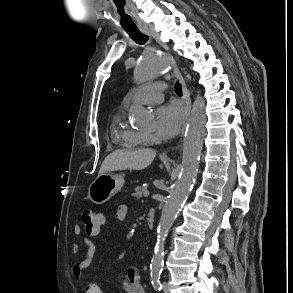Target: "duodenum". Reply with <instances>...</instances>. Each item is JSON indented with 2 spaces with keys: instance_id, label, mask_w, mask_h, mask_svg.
Returning <instances> with one entry per match:
<instances>
[{
  "instance_id": "1",
  "label": "duodenum",
  "mask_w": 293,
  "mask_h": 293,
  "mask_svg": "<svg viewBox=\"0 0 293 293\" xmlns=\"http://www.w3.org/2000/svg\"><path fill=\"white\" fill-rule=\"evenodd\" d=\"M155 223V210L150 208L146 216V224L149 229H152Z\"/></svg>"
}]
</instances>
